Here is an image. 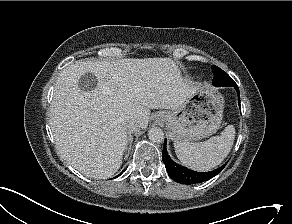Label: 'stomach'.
I'll list each match as a JSON object with an SVG mask.
<instances>
[{"label": "stomach", "mask_w": 292, "mask_h": 224, "mask_svg": "<svg viewBox=\"0 0 292 224\" xmlns=\"http://www.w3.org/2000/svg\"><path fill=\"white\" fill-rule=\"evenodd\" d=\"M224 97L209 84H201L180 108L160 111L155 121L164 123L173 141L194 142L214 134L222 123Z\"/></svg>", "instance_id": "0dacf381"}]
</instances>
